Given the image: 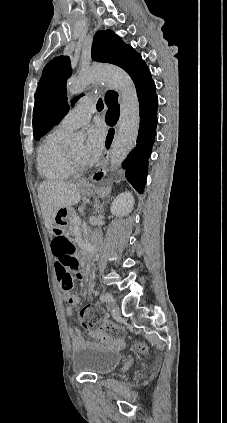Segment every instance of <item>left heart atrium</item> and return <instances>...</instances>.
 Listing matches in <instances>:
<instances>
[{
	"label": "left heart atrium",
	"mask_w": 227,
	"mask_h": 423,
	"mask_svg": "<svg viewBox=\"0 0 227 423\" xmlns=\"http://www.w3.org/2000/svg\"><path fill=\"white\" fill-rule=\"evenodd\" d=\"M107 139V131L103 126L91 127L88 140L84 147L83 162L87 165L96 164L102 156Z\"/></svg>",
	"instance_id": "1"
}]
</instances>
